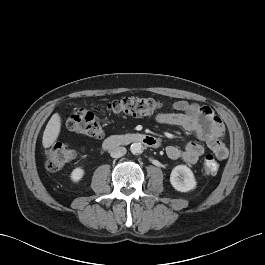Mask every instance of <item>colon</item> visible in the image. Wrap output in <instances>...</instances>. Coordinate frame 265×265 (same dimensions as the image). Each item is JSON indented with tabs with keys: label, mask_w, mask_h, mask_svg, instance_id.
Listing matches in <instances>:
<instances>
[{
	"label": "colon",
	"mask_w": 265,
	"mask_h": 265,
	"mask_svg": "<svg viewBox=\"0 0 265 265\" xmlns=\"http://www.w3.org/2000/svg\"><path fill=\"white\" fill-rule=\"evenodd\" d=\"M161 102L153 98L125 97L108 105V110L132 117L150 116L158 113ZM68 128L77 134L100 139L103 135L100 120L90 111L75 109L67 116ZM46 166L55 172L63 168L76 156V151L66 144L56 143L47 149ZM203 170L208 175H214L219 170V162L215 155L207 154L203 159Z\"/></svg>",
	"instance_id": "obj_1"
}]
</instances>
